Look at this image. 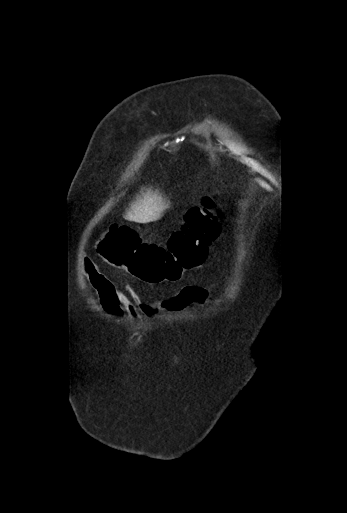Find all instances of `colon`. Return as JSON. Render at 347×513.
I'll list each match as a JSON object with an SVG mask.
<instances>
[{
	"label": "colon",
	"mask_w": 347,
	"mask_h": 513,
	"mask_svg": "<svg viewBox=\"0 0 347 513\" xmlns=\"http://www.w3.org/2000/svg\"><path fill=\"white\" fill-rule=\"evenodd\" d=\"M219 233L220 202L208 196L188 210L166 246L144 242L133 229L113 225L98 243V251L110 265L145 283L160 285L180 280L201 266Z\"/></svg>",
	"instance_id": "obj_1"
}]
</instances>
